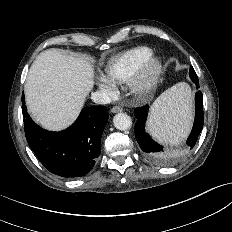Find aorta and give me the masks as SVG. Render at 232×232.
<instances>
[{
    "mask_svg": "<svg viewBox=\"0 0 232 232\" xmlns=\"http://www.w3.org/2000/svg\"><path fill=\"white\" fill-rule=\"evenodd\" d=\"M115 128L118 130H127L132 126V120L126 113H118L113 118Z\"/></svg>",
    "mask_w": 232,
    "mask_h": 232,
    "instance_id": "1",
    "label": "aorta"
}]
</instances>
